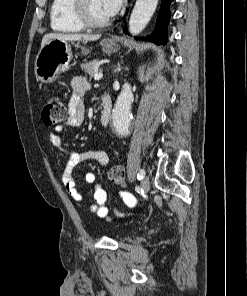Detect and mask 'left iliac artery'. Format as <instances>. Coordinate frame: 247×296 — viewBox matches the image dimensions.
I'll return each instance as SVG.
<instances>
[{
    "instance_id": "left-iliac-artery-1",
    "label": "left iliac artery",
    "mask_w": 247,
    "mask_h": 296,
    "mask_svg": "<svg viewBox=\"0 0 247 296\" xmlns=\"http://www.w3.org/2000/svg\"><path fill=\"white\" fill-rule=\"evenodd\" d=\"M144 175H145L144 169H140L139 172H138V174H137L138 180L143 179Z\"/></svg>"
}]
</instances>
